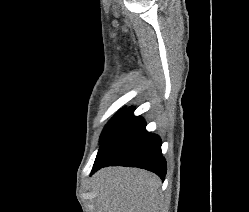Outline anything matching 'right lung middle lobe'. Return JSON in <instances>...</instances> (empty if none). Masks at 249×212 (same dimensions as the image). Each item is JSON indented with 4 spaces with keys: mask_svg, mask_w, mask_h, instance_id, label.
Listing matches in <instances>:
<instances>
[{
    "mask_svg": "<svg viewBox=\"0 0 249 212\" xmlns=\"http://www.w3.org/2000/svg\"><path fill=\"white\" fill-rule=\"evenodd\" d=\"M125 111V108L121 109L109 122L108 124L105 126L101 137H100V142L103 140V138L105 137V135L108 133V131L110 130L111 126L115 123V121L121 116V114Z\"/></svg>",
    "mask_w": 249,
    "mask_h": 212,
    "instance_id": "dd1d6c3e",
    "label": "right lung middle lobe"
}]
</instances>
